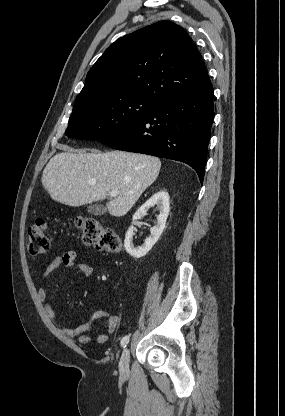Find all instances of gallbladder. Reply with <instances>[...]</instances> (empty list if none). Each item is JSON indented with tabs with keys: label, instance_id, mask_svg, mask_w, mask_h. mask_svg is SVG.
<instances>
[{
	"label": "gallbladder",
	"instance_id": "obj_1",
	"mask_svg": "<svg viewBox=\"0 0 285 416\" xmlns=\"http://www.w3.org/2000/svg\"><path fill=\"white\" fill-rule=\"evenodd\" d=\"M87 212L94 214V216H103L107 210L102 204H93V206L90 204V206H87Z\"/></svg>",
	"mask_w": 285,
	"mask_h": 416
}]
</instances>
